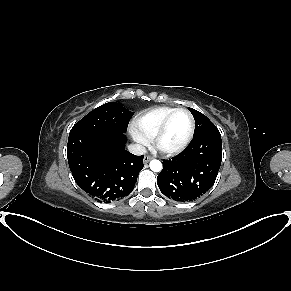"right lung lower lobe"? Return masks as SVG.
<instances>
[{"instance_id":"98d812e1","label":"right lung lower lobe","mask_w":291,"mask_h":291,"mask_svg":"<svg viewBox=\"0 0 291 291\" xmlns=\"http://www.w3.org/2000/svg\"><path fill=\"white\" fill-rule=\"evenodd\" d=\"M122 132L78 131L69 134L67 157L78 186L99 202L110 203L129 195L144 167V156L125 150Z\"/></svg>"}]
</instances>
